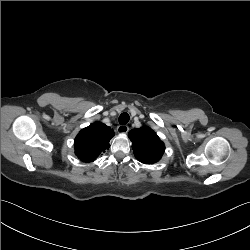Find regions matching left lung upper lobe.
Segmentation results:
<instances>
[{"label":"left lung upper lobe","mask_w":250,"mask_h":250,"mask_svg":"<svg viewBox=\"0 0 250 250\" xmlns=\"http://www.w3.org/2000/svg\"><path fill=\"white\" fill-rule=\"evenodd\" d=\"M132 148L137 160L145 164L157 162L163 155L165 146L157 134L149 127L143 126L129 132Z\"/></svg>","instance_id":"5c2ea615"}]
</instances>
